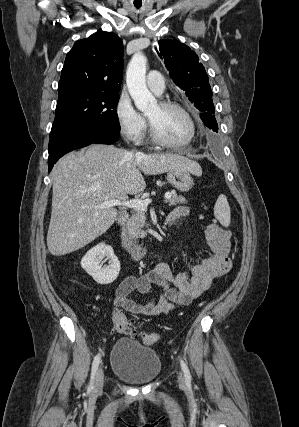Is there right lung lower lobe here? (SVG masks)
<instances>
[{
  "label": "right lung lower lobe",
  "instance_id": "obj_1",
  "mask_svg": "<svg viewBox=\"0 0 299 427\" xmlns=\"http://www.w3.org/2000/svg\"><path fill=\"white\" fill-rule=\"evenodd\" d=\"M119 138V132L96 128H73L50 137L49 171L64 154L92 143L112 144Z\"/></svg>",
  "mask_w": 299,
  "mask_h": 427
}]
</instances>
